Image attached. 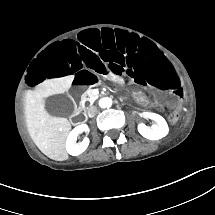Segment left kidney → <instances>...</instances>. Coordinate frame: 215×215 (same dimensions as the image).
<instances>
[{
	"instance_id": "5707ae66",
	"label": "left kidney",
	"mask_w": 215,
	"mask_h": 215,
	"mask_svg": "<svg viewBox=\"0 0 215 215\" xmlns=\"http://www.w3.org/2000/svg\"><path fill=\"white\" fill-rule=\"evenodd\" d=\"M143 116L154 120L157 124L152 125V127L146 126L144 123L138 125V132L145 138L149 140H159L167 136L169 132V127L166 120L159 114L144 112Z\"/></svg>"
}]
</instances>
